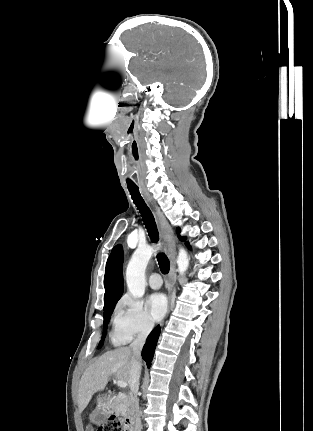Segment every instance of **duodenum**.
<instances>
[{
  "label": "duodenum",
  "mask_w": 313,
  "mask_h": 431,
  "mask_svg": "<svg viewBox=\"0 0 313 431\" xmlns=\"http://www.w3.org/2000/svg\"><path fill=\"white\" fill-rule=\"evenodd\" d=\"M125 401H128V397H123ZM125 427L127 431H137V418L135 413L130 412L124 419Z\"/></svg>",
  "instance_id": "410a0bca"
}]
</instances>
